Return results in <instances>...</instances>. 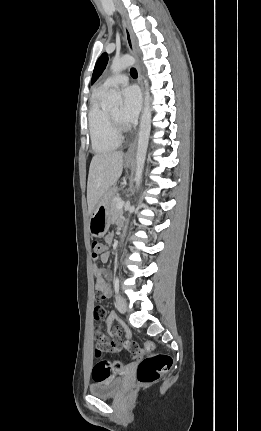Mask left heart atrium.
I'll use <instances>...</instances> for the list:
<instances>
[{
  "mask_svg": "<svg viewBox=\"0 0 261 431\" xmlns=\"http://www.w3.org/2000/svg\"><path fill=\"white\" fill-rule=\"evenodd\" d=\"M123 106L120 112V121L126 125H132L139 113L141 97L135 86H127L122 91Z\"/></svg>",
  "mask_w": 261,
  "mask_h": 431,
  "instance_id": "left-heart-atrium-1",
  "label": "left heart atrium"
}]
</instances>
